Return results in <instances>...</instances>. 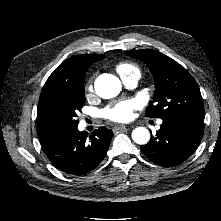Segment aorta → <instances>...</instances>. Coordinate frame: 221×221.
I'll return each instance as SVG.
<instances>
[{"instance_id":"obj_1","label":"aorta","mask_w":221,"mask_h":221,"mask_svg":"<svg viewBox=\"0 0 221 221\" xmlns=\"http://www.w3.org/2000/svg\"><path fill=\"white\" fill-rule=\"evenodd\" d=\"M121 81L112 74H102L95 80V90L99 97L110 99L117 96L121 91ZM135 143L144 145L150 139V133L145 127H137L132 132Z\"/></svg>"}]
</instances>
